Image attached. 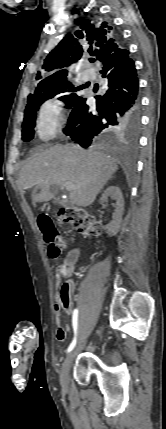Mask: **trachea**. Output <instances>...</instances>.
Instances as JSON below:
<instances>
[{
    "label": "trachea",
    "mask_w": 166,
    "mask_h": 429,
    "mask_svg": "<svg viewBox=\"0 0 166 429\" xmlns=\"http://www.w3.org/2000/svg\"><path fill=\"white\" fill-rule=\"evenodd\" d=\"M90 62H95V59L94 58H90Z\"/></svg>",
    "instance_id": "3493384b"
}]
</instances>
